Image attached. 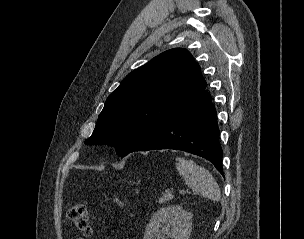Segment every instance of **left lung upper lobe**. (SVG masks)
Here are the masks:
<instances>
[{"mask_svg":"<svg viewBox=\"0 0 304 239\" xmlns=\"http://www.w3.org/2000/svg\"><path fill=\"white\" fill-rule=\"evenodd\" d=\"M206 87L200 66L182 48L161 53L129 73L111 93L85 144L117 146L126 156L142 145Z\"/></svg>","mask_w":304,"mask_h":239,"instance_id":"1","label":"left lung upper lobe"}]
</instances>
